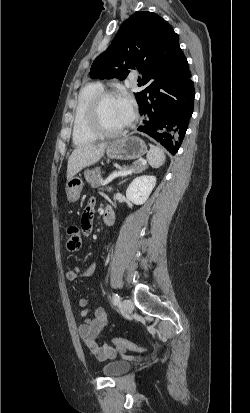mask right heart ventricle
Segmentation results:
<instances>
[{
	"label": "right heart ventricle",
	"instance_id": "1",
	"mask_svg": "<svg viewBox=\"0 0 250 413\" xmlns=\"http://www.w3.org/2000/svg\"><path fill=\"white\" fill-rule=\"evenodd\" d=\"M101 90L100 84H88L78 94L72 128V140L77 146L88 145L98 139L87 125V108L92 97Z\"/></svg>",
	"mask_w": 250,
	"mask_h": 413
}]
</instances>
